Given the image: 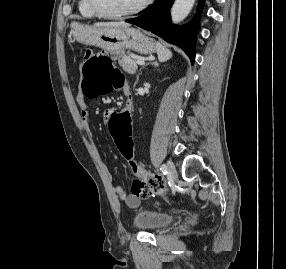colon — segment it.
<instances>
[{
	"label": "colon",
	"mask_w": 286,
	"mask_h": 269,
	"mask_svg": "<svg viewBox=\"0 0 286 269\" xmlns=\"http://www.w3.org/2000/svg\"><path fill=\"white\" fill-rule=\"evenodd\" d=\"M128 49H96V54L88 49L84 53L82 65V90L86 95L118 89L123 86L124 76L114 62L127 59ZM109 138H113V148L118 159H124L125 168H131L135 178L131 185V192L135 196L146 197L153 190L162 187V180L145 171L142 173V163H135L136 139H131L130 131L133 126L132 111L127 107L122 110L113 109L108 116Z\"/></svg>",
	"instance_id": "1"
}]
</instances>
